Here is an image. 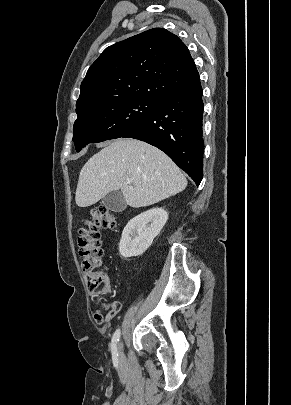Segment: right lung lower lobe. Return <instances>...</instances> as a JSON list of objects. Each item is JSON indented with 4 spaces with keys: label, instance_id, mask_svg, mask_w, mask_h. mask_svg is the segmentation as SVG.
<instances>
[{
    "label": "right lung lower lobe",
    "instance_id": "obj_1",
    "mask_svg": "<svg viewBox=\"0 0 291 405\" xmlns=\"http://www.w3.org/2000/svg\"><path fill=\"white\" fill-rule=\"evenodd\" d=\"M202 94L200 78L165 93L147 120L123 136L165 152L197 186L203 178Z\"/></svg>",
    "mask_w": 291,
    "mask_h": 405
}]
</instances>
